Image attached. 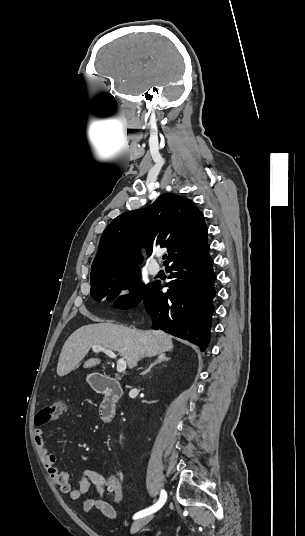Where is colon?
<instances>
[{
    "label": "colon",
    "mask_w": 305,
    "mask_h": 536,
    "mask_svg": "<svg viewBox=\"0 0 305 536\" xmlns=\"http://www.w3.org/2000/svg\"><path fill=\"white\" fill-rule=\"evenodd\" d=\"M67 405L68 403L64 400H57L47 405L42 411L36 412L35 417L32 420L33 425L36 427L46 425L48 422L51 421L52 418H54V416L63 413L67 408ZM101 480L105 483L113 485L114 503L120 504L123 500L124 495L122 483L116 482L118 480V477L116 475H112L108 480V477L106 475H103L101 477ZM101 480H98V483H101Z\"/></svg>",
    "instance_id": "1"
}]
</instances>
